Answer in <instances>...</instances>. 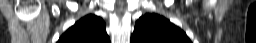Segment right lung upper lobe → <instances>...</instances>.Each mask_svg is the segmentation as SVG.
Segmentation results:
<instances>
[{"instance_id":"cb5924a9","label":"right lung upper lobe","mask_w":256,"mask_h":43,"mask_svg":"<svg viewBox=\"0 0 256 43\" xmlns=\"http://www.w3.org/2000/svg\"><path fill=\"white\" fill-rule=\"evenodd\" d=\"M57 43H110L104 21L88 15L69 28Z\"/></svg>"}]
</instances>
